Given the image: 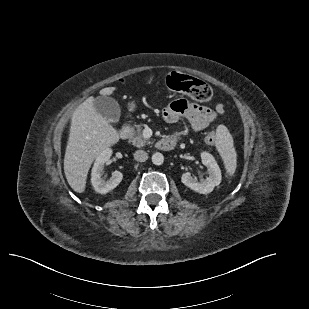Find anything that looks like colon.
<instances>
[{
  "mask_svg": "<svg viewBox=\"0 0 309 309\" xmlns=\"http://www.w3.org/2000/svg\"><path fill=\"white\" fill-rule=\"evenodd\" d=\"M166 84L171 91L187 94L199 102H209L213 98V92L206 83L186 74L172 73L167 77ZM205 142L214 144L215 136L207 135Z\"/></svg>",
  "mask_w": 309,
  "mask_h": 309,
  "instance_id": "5ec220e1",
  "label": "colon"
}]
</instances>
